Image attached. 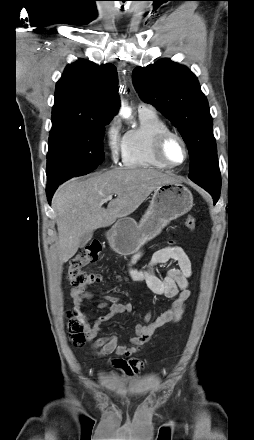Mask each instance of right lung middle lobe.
Listing matches in <instances>:
<instances>
[{
	"instance_id": "obj_1",
	"label": "right lung middle lobe",
	"mask_w": 254,
	"mask_h": 440,
	"mask_svg": "<svg viewBox=\"0 0 254 440\" xmlns=\"http://www.w3.org/2000/svg\"><path fill=\"white\" fill-rule=\"evenodd\" d=\"M109 120L52 116L47 154V186L95 170L104 159L103 137Z\"/></svg>"
}]
</instances>
